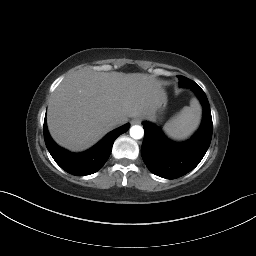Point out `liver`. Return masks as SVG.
I'll use <instances>...</instances> for the list:
<instances>
[{"instance_id":"obj_1","label":"liver","mask_w":256,"mask_h":256,"mask_svg":"<svg viewBox=\"0 0 256 256\" xmlns=\"http://www.w3.org/2000/svg\"><path fill=\"white\" fill-rule=\"evenodd\" d=\"M166 99L162 84L142 73L80 71L65 78L52 94L47 125L52 138L71 151H82L128 118L151 119Z\"/></svg>"}]
</instances>
